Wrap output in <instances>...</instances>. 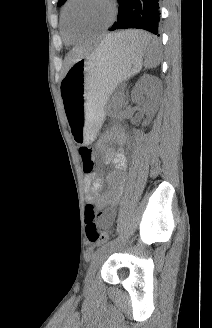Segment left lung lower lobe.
Masks as SVG:
<instances>
[{
  "label": "left lung lower lobe",
  "instance_id": "1",
  "mask_svg": "<svg viewBox=\"0 0 212 328\" xmlns=\"http://www.w3.org/2000/svg\"><path fill=\"white\" fill-rule=\"evenodd\" d=\"M119 4L117 21L109 29L139 28L153 34H158V22L160 18L159 0H117ZM158 44V40L152 37L147 45Z\"/></svg>",
  "mask_w": 212,
  "mask_h": 328
}]
</instances>
